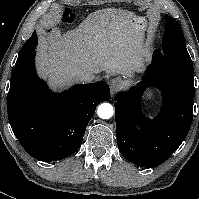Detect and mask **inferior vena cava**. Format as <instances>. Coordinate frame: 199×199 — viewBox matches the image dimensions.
<instances>
[{"instance_id": "inferior-vena-cava-1", "label": "inferior vena cava", "mask_w": 199, "mask_h": 199, "mask_svg": "<svg viewBox=\"0 0 199 199\" xmlns=\"http://www.w3.org/2000/svg\"><path fill=\"white\" fill-rule=\"evenodd\" d=\"M79 79L82 82H92L96 79V76L91 71H83L80 73Z\"/></svg>"}]
</instances>
